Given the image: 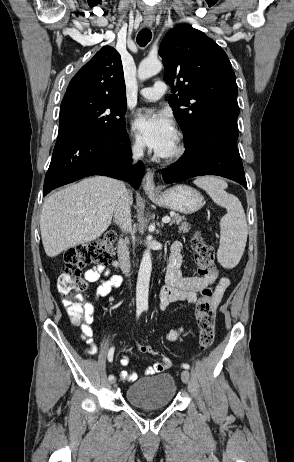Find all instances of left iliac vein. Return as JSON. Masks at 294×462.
<instances>
[{
	"label": "left iliac vein",
	"instance_id": "obj_1",
	"mask_svg": "<svg viewBox=\"0 0 294 462\" xmlns=\"http://www.w3.org/2000/svg\"><path fill=\"white\" fill-rule=\"evenodd\" d=\"M181 379L184 383H188L189 382V379H190V373L188 370H184L182 371L181 373Z\"/></svg>",
	"mask_w": 294,
	"mask_h": 462
}]
</instances>
